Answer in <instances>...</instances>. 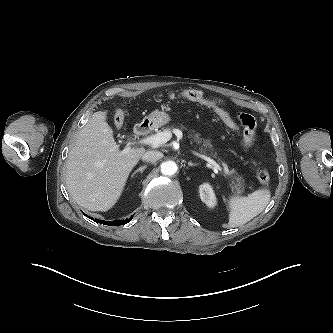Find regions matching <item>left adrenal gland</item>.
<instances>
[{"instance_id": "left-adrenal-gland-1", "label": "left adrenal gland", "mask_w": 333, "mask_h": 333, "mask_svg": "<svg viewBox=\"0 0 333 333\" xmlns=\"http://www.w3.org/2000/svg\"><path fill=\"white\" fill-rule=\"evenodd\" d=\"M188 165L193 167V166H197V165H199V163H193V162L189 161V162H188Z\"/></svg>"}]
</instances>
